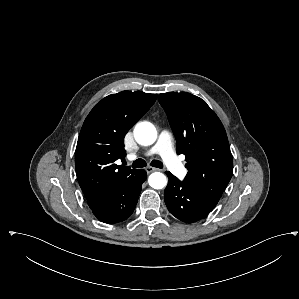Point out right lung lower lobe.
I'll use <instances>...</instances> for the list:
<instances>
[{
  "instance_id": "right-lung-lower-lobe-1",
  "label": "right lung lower lobe",
  "mask_w": 299,
  "mask_h": 299,
  "mask_svg": "<svg viewBox=\"0 0 299 299\" xmlns=\"http://www.w3.org/2000/svg\"><path fill=\"white\" fill-rule=\"evenodd\" d=\"M147 174L145 170L133 171L123 178L99 203L91 208L93 214L102 222L114 224L126 220L134 211L142 183Z\"/></svg>"
}]
</instances>
